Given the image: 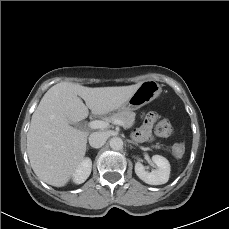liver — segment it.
<instances>
[{"label":"liver","mask_w":229,"mask_h":229,"mask_svg":"<svg viewBox=\"0 0 229 229\" xmlns=\"http://www.w3.org/2000/svg\"><path fill=\"white\" fill-rule=\"evenodd\" d=\"M140 84L91 88L61 82L52 86L33 113L27 133L34 173L49 185L65 186L84 160L89 135L71 124L85 119L88 109L94 115H105L120 108Z\"/></svg>","instance_id":"liver-1"}]
</instances>
